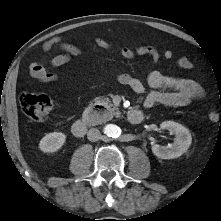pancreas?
Masks as SVG:
<instances>
[{"mask_svg": "<svg viewBox=\"0 0 221 221\" xmlns=\"http://www.w3.org/2000/svg\"><path fill=\"white\" fill-rule=\"evenodd\" d=\"M99 102L104 103L108 107V115L106 118L99 116L97 113L92 112L89 115L84 116V120L88 125H97L104 121H107L113 117V115L118 114V109L110 104V100L108 98L104 100H98Z\"/></svg>", "mask_w": 221, "mask_h": 221, "instance_id": "cf45deb5", "label": "pancreas"}]
</instances>
